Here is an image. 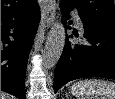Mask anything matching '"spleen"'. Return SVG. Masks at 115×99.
<instances>
[{
	"instance_id": "spleen-1",
	"label": "spleen",
	"mask_w": 115,
	"mask_h": 99,
	"mask_svg": "<svg viewBox=\"0 0 115 99\" xmlns=\"http://www.w3.org/2000/svg\"><path fill=\"white\" fill-rule=\"evenodd\" d=\"M71 92L77 99H93L94 96H99L100 99H115V83L86 79L74 83Z\"/></svg>"
}]
</instances>
